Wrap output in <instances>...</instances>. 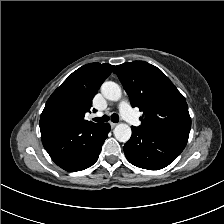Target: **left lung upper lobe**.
<instances>
[{"mask_svg":"<svg viewBox=\"0 0 224 224\" xmlns=\"http://www.w3.org/2000/svg\"><path fill=\"white\" fill-rule=\"evenodd\" d=\"M133 107L143 111L139 128L188 140L191 118L184 96L157 67L134 61L115 67Z\"/></svg>","mask_w":224,"mask_h":224,"instance_id":"left-lung-upper-lobe-1","label":"left lung upper lobe"}]
</instances>
